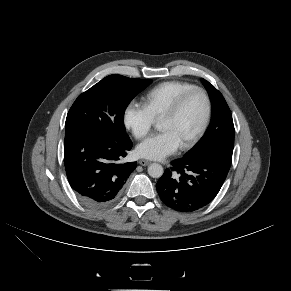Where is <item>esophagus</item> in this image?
<instances>
[{
	"label": "esophagus",
	"mask_w": 291,
	"mask_h": 291,
	"mask_svg": "<svg viewBox=\"0 0 291 291\" xmlns=\"http://www.w3.org/2000/svg\"><path fill=\"white\" fill-rule=\"evenodd\" d=\"M151 162L148 160L141 159L139 160V164L142 166H148Z\"/></svg>",
	"instance_id": "34e87169"
}]
</instances>
